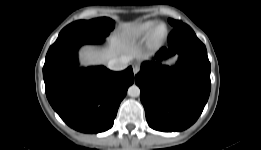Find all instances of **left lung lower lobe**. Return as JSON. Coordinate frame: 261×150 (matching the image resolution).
<instances>
[{
  "mask_svg": "<svg viewBox=\"0 0 261 150\" xmlns=\"http://www.w3.org/2000/svg\"><path fill=\"white\" fill-rule=\"evenodd\" d=\"M175 54L179 55L177 67L148 61L142 63L135 76L146 120L159 131L190 127L202 113L210 94L211 67L206 47L186 24L173 29L168 48L162 47L155 58L162 60Z\"/></svg>",
  "mask_w": 261,
  "mask_h": 150,
  "instance_id": "obj_1",
  "label": "left lung lower lobe"
}]
</instances>
